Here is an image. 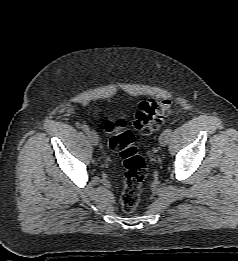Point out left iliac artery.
Segmentation results:
<instances>
[{
    "mask_svg": "<svg viewBox=\"0 0 238 261\" xmlns=\"http://www.w3.org/2000/svg\"><path fill=\"white\" fill-rule=\"evenodd\" d=\"M165 132H167L170 135L172 130L171 129H166Z\"/></svg>",
    "mask_w": 238,
    "mask_h": 261,
    "instance_id": "44dca946",
    "label": "left iliac artery"
}]
</instances>
